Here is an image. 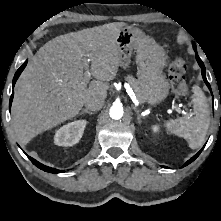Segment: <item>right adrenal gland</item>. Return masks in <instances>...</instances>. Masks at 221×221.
<instances>
[{
	"label": "right adrenal gland",
	"mask_w": 221,
	"mask_h": 221,
	"mask_svg": "<svg viewBox=\"0 0 221 221\" xmlns=\"http://www.w3.org/2000/svg\"><path fill=\"white\" fill-rule=\"evenodd\" d=\"M84 113H87V114H89V115L95 114V112H92V111H90V110H88V109H83V110L80 112V115H82V114H84Z\"/></svg>",
	"instance_id": "2a0ac1e0"
}]
</instances>
